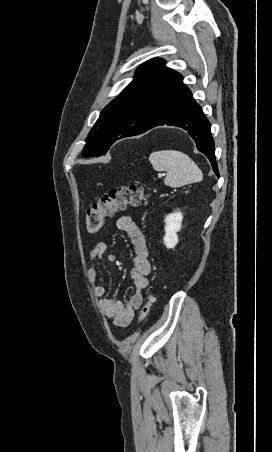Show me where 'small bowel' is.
I'll return each mask as SVG.
<instances>
[{"label": "small bowel", "mask_w": 272, "mask_h": 452, "mask_svg": "<svg viewBox=\"0 0 272 452\" xmlns=\"http://www.w3.org/2000/svg\"><path fill=\"white\" fill-rule=\"evenodd\" d=\"M115 225L118 230L124 231L127 234L134 249L131 278L135 292L124 302L116 298L107 297L106 288L96 283L98 276L97 268L91 267L88 276L94 285L95 295L100 298L99 307L101 313L115 325L124 327L130 324L136 310L143 303L142 290L148 287V276L151 267L145 236L133 218L128 215L119 216L116 219ZM106 251L107 244L105 242L97 243L90 252L91 261L97 262L103 260Z\"/></svg>", "instance_id": "small-bowel-1"}]
</instances>
